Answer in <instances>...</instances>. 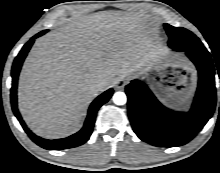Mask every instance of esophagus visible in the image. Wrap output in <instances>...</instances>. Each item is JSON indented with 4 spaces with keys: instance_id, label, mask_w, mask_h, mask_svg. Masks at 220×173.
<instances>
[{
    "instance_id": "obj_1",
    "label": "esophagus",
    "mask_w": 220,
    "mask_h": 173,
    "mask_svg": "<svg viewBox=\"0 0 220 173\" xmlns=\"http://www.w3.org/2000/svg\"><path fill=\"white\" fill-rule=\"evenodd\" d=\"M126 84V79H118L116 82L117 89H123Z\"/></svg>"
}]
</instances>
